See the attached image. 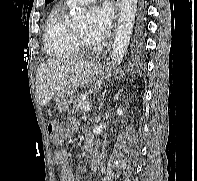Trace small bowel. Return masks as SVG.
Wrapping results in <instances>:
<instances>
[{"label":"small bowel","instance_id":"1","mask_svg":"<svg viewBox=\"0 0 197 181\" xmlns=\"http://www.w3.org/2000/svg\"><path fill=\"white\" fill-rule=\"evenodd\" d=\"M77 123L75 120H70L68 123L69 129H75ZM54 163L59 167L61 174V181H74V174L70 169V160L65 149L55 151L53 155Z\"/></svg>","mask_w":197,"mask_h":181}]
</instances>
